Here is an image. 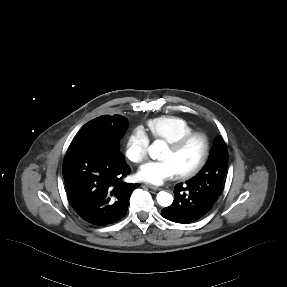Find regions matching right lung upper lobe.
Segmentation results:
<instances>
[{
	"mask_svg": "<svg viewBox=\"0 0 287 287\" xmlns=\"http://www.w3.org/2000/svg\"><path fill=\"white\" fill-rule=\"evenodd\" d=\"M117 115H114L113 117H111L110 115H102L100 116L101 118L107 120V119H114Z\"/></svg>",
	"mask_w": 287,
	"mask_h": 287,
	"instance_id": "1",
	"label": "right lung upper lobe"
}]
</instances>
